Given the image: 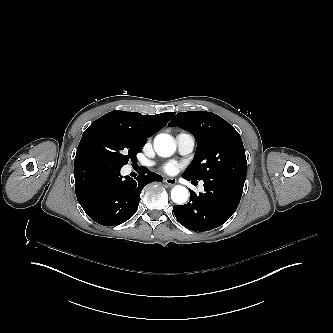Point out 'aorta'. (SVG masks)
<instances>
[{
	"mask_svg": "<svg viewBox=\"0 0 333 333\" xmlns=\"http://www.w3.org/2000/svg\"><path fill=\"white\" fill-rule=\"evenodd\" d=\"M154 150L161 157H169L176 150L172 136L161 133L154 138ZM171 199L174 203L183 204L188 200V189L183 185H175L171 190Z\"/></svg>",
	"mask_w": 333,
	"mask_h": 333,
	"instance_id": "762f6f07",
	"label": "aorta"
}]
</instances>
